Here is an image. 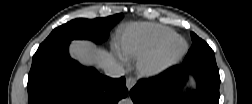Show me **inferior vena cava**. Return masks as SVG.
I'll return each mask as SVG.
<instances>
[{
  "instance_id": "inferior-vena-cava-1",
  "label": "inferior vena cava",
  "mask_w": 252,
  "mask_h": 104,
  "mask_svg": "<svg viewBox=\"0 0 252 104\" xmlns=\"http://www.w3.org/2000/svg\"><path fill=\"white\" fill-rule=\"evenodd\" d=\"M103 69L105 74L112 78H119L125 75L124 68L118 63H110L104 66Z\"/></svg>"
}]
</instances>
